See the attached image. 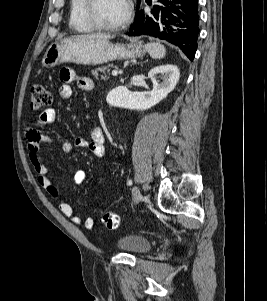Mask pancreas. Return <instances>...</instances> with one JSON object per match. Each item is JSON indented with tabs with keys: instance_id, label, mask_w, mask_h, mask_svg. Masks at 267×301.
Wrapping results in <instances>:
<instances>
[{
	"instance_id": "1",
	"label": "pancreas",
	"mask_w": 267,
	"mask_h": 301,
	"mask_svg": "<svg viewBox=\"0 0 267 301\" xmlns=\"http://www.w3.org/2000/svg\"><path fill=\"white\" fill-rule=\"evenodd\" d=\"M114 67L113 65H107V66H103V67H99L95 70L92 71V74L94 75V77L96 79H99V74L101 79L106 80L109 79V75H107L110 71V68Z\"/></svg>"
}]
</instances>
